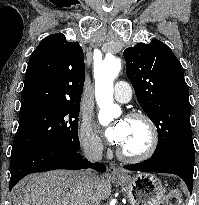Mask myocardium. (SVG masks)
<instances>
[{
	"instance_id": "f54148a6",
	"label": "myocardium",
	"mask_w": 199,
	"mask_h": 205,
	"mask_svg": "<svg viewBox=\"0 0 199 205\" xmlns=\"http://www.w3.org/2000/svg\"><path fill=\"white\" fill-rule=\"evenodd\" d=\"M127 120H138L145 124L148 130V142L146 147L137 153H128L121 147L117 149L119 158L128 162H140L149 159L157 150L159 145V131L154 120L144 112H132L126 117Z\"/></svg>"
}]
</instances>
